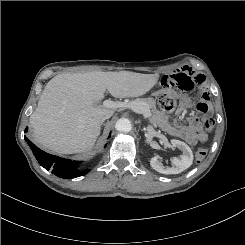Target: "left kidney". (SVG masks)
<instances>
[{
  "label": "left kidney",
  "mask_w": 245,
  "mask_h": 245,
  "mask_svg": "<svg viewBox=\"0 0 245 245\" xmlns=\"http://www.w3.org/2000/svg\"><path fill=\"white\" fill-rule=\"evenodd\" d=\"M171 144L172 147H177L182 152L180 157H175L173 159L172 167H164L158 156H155L150 160L151 167L161 174H179L189 168L193 163L192 150L186 143L173 139L171 140Z\"/></svg>",
  "instance_id": "obj_1"
}]
</instances>
